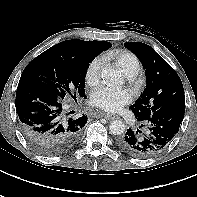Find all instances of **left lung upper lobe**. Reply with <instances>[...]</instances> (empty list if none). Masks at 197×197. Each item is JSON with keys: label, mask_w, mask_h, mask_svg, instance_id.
Instances as JSON below:
<instances>
[{"label": "left lung upper lobe", "mask_w": 197, "mask_h": 197, "mask_svg": "<svg viewBox=\"0 0 197 197\" xmlns=\"http://www.w3.org/2000/svg\"><path fill=\"white\" fill-rule=\"evenodd\" d=\"M124 46L139 58L146 74V88L130 106L138 121L146 120L163 106L185 103L178 74L152 47L141 42L124 43Z\"/></svg>", "instance_id": "5c2ea615"}]
</instances>
